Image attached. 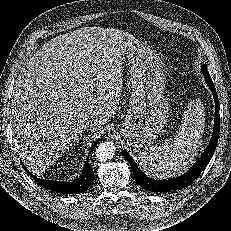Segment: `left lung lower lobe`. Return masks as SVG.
<instances>
[{"label": "left lung lower lobe", "mask_w": 231, "mask_h": 231, "mask_svg": "<svg viewBox=\"0 0 231 231\" xmlns=\"http://www.w3.org/2000/svg\"><path fill=\"white\" fill-rule=\"evenodd\" d=\"M206 79V83L208 84L210 90L213 93L214 100H215V121H214V130L212 134V138L210 143L202 156L198 159V161L187 171L185 174L181 175L180 177L170 179V180H155L147 177L143 172L140 171L136 163L134 162L133 158L122 150L123 155L125 156L126 160L129 162L134 177L140 186L144 189L151 191V192H166V191H175L181 188H185L189 186L195 179L199 177L201 172L206 168L209 161L211 160L214 151L217 146L218 138H219V131H220V116H219V101L218 96L216 93L215 86L213 81L209 75H204Z\"/></svg>", "instance_id": "0a47b994"}]
</instances>
